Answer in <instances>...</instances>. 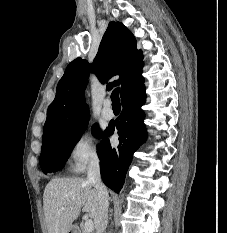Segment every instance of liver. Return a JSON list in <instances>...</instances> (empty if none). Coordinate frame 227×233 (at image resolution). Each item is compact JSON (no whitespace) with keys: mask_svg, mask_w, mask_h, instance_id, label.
I'll list each match as a JSON object with an SVG mask.
<instances>
[{"mask_svg":"<svg viewBox=\"0 0 227 233\" xmlns=\"http://www.w3.org/2000/svg\"><path fill=\"white\" fill-rule=\"evenodd\" d=\"M93 183L84 178H54L46 185L43 209L48 233H68L81 208L96 218L99 198Z\"/></svg>","mask_w":227,"mask_h":233,"instance_id":"6515ba94","label":"liver"}]
</instances>
